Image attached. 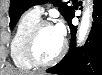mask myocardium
Returning <instances> with one entry per match:
<instances>
[{"mask_svg": "<svg viewBox=\"0 0 102 75\" xmlns=\"http://www.w3.org/2000/svg\"><path fill=\"white\" fill-rule=\"evenodd\" d=\"M46 26H55V25L49 19L39 20L34 25L32 30L30 31V33H29V35L26 39V42H25V51H26L28 59L30 60V62L34 66H38V67H48V66H51V65L55 64L56 62H58L64 56V54L67 51V42L63 38L62 48L59 51V53L53 59L48 60V61H44V60L39 58V56L36 53V40H37V37L40 34V32Z\"/></svg>", "mask_w": 102, "mask_h": 75, "instance_id": "myocardium-1", "label": "myocardium"}]
</instances>
